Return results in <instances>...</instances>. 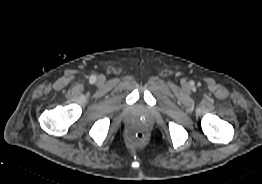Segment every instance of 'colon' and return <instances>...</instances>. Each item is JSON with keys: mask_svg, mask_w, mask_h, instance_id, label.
Returning <instances> with one entry per match:
<instances>
[{"mask_svg": "<svg viewBox=\"0 0 262 184\" xmlns=\"http://www.w3.org/2000/svg\"><path fill=\"white\" fill-rule=\"evenodd\" d=\"M129 138L133 144H142L146 140V134L140 126H136L130 131Z\"/></svg>", "mask_w": 262, "mask_h": 184, "instance_id": "obj_1", "label": "colon"}]
</instances>
